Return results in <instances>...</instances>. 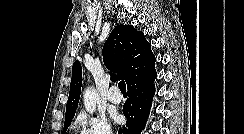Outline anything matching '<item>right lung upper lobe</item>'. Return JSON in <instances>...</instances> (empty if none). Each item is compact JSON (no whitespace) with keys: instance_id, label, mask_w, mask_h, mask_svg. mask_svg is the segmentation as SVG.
I'll list each match as a JSON object with an SVG mask.
<instances>
[{"instance_id":"1","label":"right lung upper lobe","mask_w":244,"mask_h":134,"mask_svg":"<svg viewBox=\"0 0 244 134\" xmlns=\"http://www.w3.org/2000/svg\"><path fill=\"white\" fill-rule=\"evenodd\" d=\"M103 61L110 72H117L111 80L124 79L127 87L152 75L155 71V56L151 44L142 32L132 25L116 26L103 47ZM82 68L79 61L72 66V80L66 105V116H74L81 92Z\"/></svg>"}]
</instances>
